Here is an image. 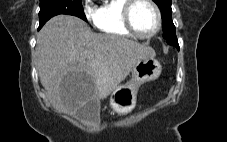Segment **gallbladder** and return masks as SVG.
<instances>
[{"label":"gallbladder","mask_w":227,"mask_h":142,"mask_svg":"<svg viewBox=\"0 0 227 142\" xmlns=\"http://www.w3.org/2000/svg\"><path fill=\"white\" fill-rule=\"evenodd\" d=\"M100 113V102L98 100L88 101L77 112V116L85 121H98Z\"/></svg>","instance_id":"obj_1"}]
</instances>
